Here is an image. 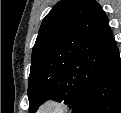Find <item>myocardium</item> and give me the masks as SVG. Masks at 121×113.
<instances>
[{
	"label": "myocardium",
	"instance_id": "obj_1",
	"mask_svg": "<svg viewBox=\"0 0 121 113\" xmlns=\"http://www.w3.org/2000/svg\"><path fill=\"white\" fill-rule=\"evenodd\" d=\"M67 110V104L57 99L44 100L37 108V113H64Z\"/></svg>",
	"mask_w": 121,
	"mask_h": 113
}]
</instances>
